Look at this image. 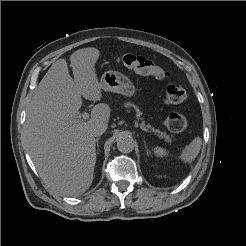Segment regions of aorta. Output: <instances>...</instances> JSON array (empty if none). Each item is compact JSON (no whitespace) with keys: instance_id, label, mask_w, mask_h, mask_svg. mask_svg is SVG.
I'll return each instance as SVG.
<instances>
[{"instance_id":"obj_1","label":"aorta","mask_w":246,"mask_h":246,"mask_svg":"<svg viewBox=\"0 0 246 246\" xmlns=\"http://www.w3.org/2000/svg\"><path fill=\"white\" fill-rule=\"evenodd\" d=\"M117 148L121 153H130L134 149V140L127 133H121L118 135L117 139Z\"/></svg>"}]
</instances>
